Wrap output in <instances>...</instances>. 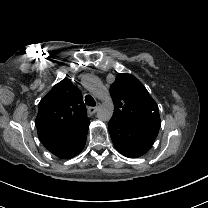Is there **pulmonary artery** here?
Instances as JSON below:
<instances>
[{
    "label": "pulmonary artery",
    "instance_id": "e3ab8cb5",
    "mask_svg": "<svg viewBox=\"0 0 208 208\" xmlns=\"http://www.w3.org/2000/svg\"><path fill=\"white\" fill-rule=\"evenodd\" d=\"M89 83H90L91 85H94V86H97V87H100V86H101L100 84L96 83L95 80H89Z\"/></svg>",
    "mask_w": 208,
    "mask_h": 208
}]
</instances>
